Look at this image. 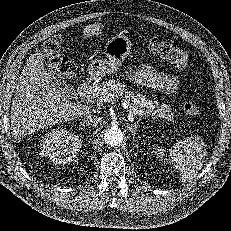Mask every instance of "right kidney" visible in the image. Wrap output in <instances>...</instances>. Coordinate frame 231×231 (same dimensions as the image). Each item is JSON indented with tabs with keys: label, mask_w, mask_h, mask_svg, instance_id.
Returning <instances> with one entry per match:
<instances>
[{
	"label": "right kidney",
	"mask_w": 231,
	"mask_h": 231,
	"mask_svg": "<svg viewBox=\"0 0 231 231\" xmlns=\"http://www.w3.org/2000/svg\"><path fill=\"white\" fill-rule=\"evenodd\" d=\"M82 146L78 135L65 129L55 128L42 139L41 154L55 164H66L74 160Z\"/></svg>",
	"instance_id": "right-kidney-1"
}]
</instances>
